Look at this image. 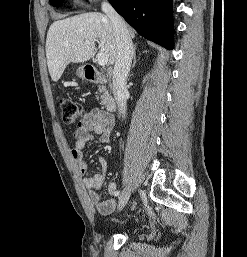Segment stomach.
<instances>
[{"instance_id":"stomach-1","label":"stomach","mask_w":247,"mask_h":257,"mask_svg":"<svg viewBox=\"0 0 247 257\" xmlns=\"http://www.w3.org/2000/svg\"><path fill=\"white\" fill-rule=\"evenodd\" d=\"M77 75H78L80 78H84V77H85L84 67H79V68H78V70H77Z\"/></svg>"}]
</instances>
